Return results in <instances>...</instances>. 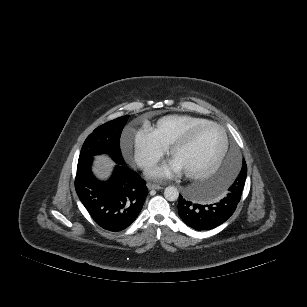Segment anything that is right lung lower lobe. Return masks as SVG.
<instances>
[{"mask_svg":"<svg viewBox=\"0 0 307 307\" xmlns=\"http://www.w3.org/2000/svg\"><path fill=\"white\" fill-rule=\"evenodd\" d=\"M93 158L78 161L75 189L94 221L110 231L127 228L139 215L148 189L146 182L124 166V160L115 161L108 181H99L91 171Z\"/></svg>","mask_w":307,"mask_h":307,"instance_id":"1","label":"right lung lower lobe"}]
</instances>
